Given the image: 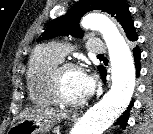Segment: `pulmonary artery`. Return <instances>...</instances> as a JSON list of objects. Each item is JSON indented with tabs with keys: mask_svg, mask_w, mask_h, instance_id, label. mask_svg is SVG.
Segmentation results:
<instances>
[{
	"mask_svg": "<svg viewBox=\"0 0 153 134\" xmlns=\"http://www.w3.org/2000/svg\"><path fill=\"white\" fill-rule=\"evenodd\" d=\"M50 47L61 59H63L69 51V47L61 43H52ZM88 49L94 54H103L106 51L104 43L98 38H92L88 41Z\"/></svg>",
	"mask_w": 153,
	"mask_h": 134,
	"instance_id": "obj_1",
	"label": "pulmonary artery"
}]
</instances>
